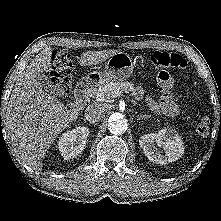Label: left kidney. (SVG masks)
<instances>
[{"mask_svg": "<svg viewBox=\"0 0 221 221\" xmlns=\"http://www.w3.org/2000/svg\"><path fill=\"white\" fill-rule=\"evenodd\" d=\"M139 145L145 156L156 164L165 165L174 162L184 154V143L178 133L172 129H162L158 133L143 135Z\"/></svg>", "mask_w": 221, "mask_h": 221, "instance_id": "1", "label": "left kidney"}]
</instances>
